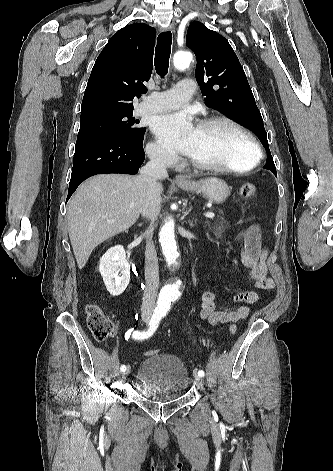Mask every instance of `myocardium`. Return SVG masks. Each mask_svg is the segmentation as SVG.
I'll use <instances>...</instances> for the list:
<instances>
[{"label":"myocardium","instance_id":"myocardium-1","mask_svg":"<svg viewBox=\"0 0 333 471\" xmlns=\"http://www.w3.org/2000/svg\"><path fill=\"white\" fill-rule=\"evenodd\" d=\"M218 123H223V124L232 126L233 128L238 130L247 138L254 152V157L251 163L245 167L237 168V167L221 165V164L204 163L195 158L190 157L189 161L192 164V166L203 171L224 172V173H233V174H243V173H247L255 169L261 161L262 152H261L259 143L257 142L254 135L244 125H242L238 121L227 116H212L209 118H205L199 123L198 127H207V126L218 124Z\"/></svg>","mask_w":333,"mask_h":471}]
</instances>
